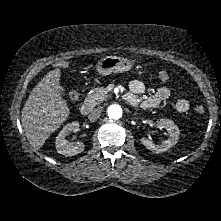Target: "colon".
<instances>
[{"label":"colon","mask_w":221,"mask_h":221,"mask_svg":"<svg viewBox=\"0 0 221 221\" xmlns=\"http://www.w3.org/2000/svg\"><path fill=\"white\" fill-rule=\"evenodd\" d=\"M161 72H162V71H161ZM164 72H165V71H164ZM158 76H159L160 80H162V81H168V80H170V75H169L167 72H165V75H164V76H160V72H159ZM69 97H70V99H71L72 101H76V100H78V98H79V93H78L77 91H71L70 94H69ZM195 111H196V113H198V114H202V113L204 112V108H203L202 106H197V107L195 108Z\"/></svg>","instance_id":"colon-1"}]
</instances>
